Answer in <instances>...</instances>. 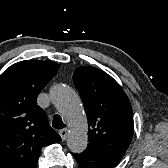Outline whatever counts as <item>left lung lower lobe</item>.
Here are the masks:
<instances>
[{"label":"left lung lower lobe","instance_id":"1","mask_svg":"<svg viewBox=\"0 0 168 168\" xmlns=\"http://www.w3.org/2000/svg\"><path fill=\"white\" fill-rule=\"evenodd\" d=\"M73 156L79 164L78 168H114L117 164V162L88 149L80 154H73Z\"/></svg>","mask_w":168,"mask_h":168}]
</instances>
